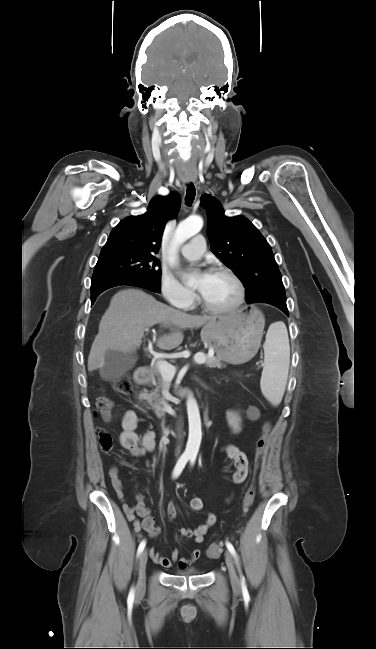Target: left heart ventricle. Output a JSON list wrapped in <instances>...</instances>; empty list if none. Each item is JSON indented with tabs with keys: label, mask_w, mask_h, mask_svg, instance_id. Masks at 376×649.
Here are the masks:
<instances>
[{
	"label": "left heart ventricle",
	"mask_w": 376,
	"mask_h": 649,
	"mask_svg": "<svg viewBox=\"0 0 376 649\" xmlns=\"http://www.w3.org/2000/svg\"><path fill=\"white\" fill-rule=\"evenodd\" d=\"M196 286L207 303L215 307L227 306L237 297V287L226 274L211 273L205 285L201 286L198 280Z\"/></svg>",
	"instance_id": "left-heart-ventricle-1"
}]
</instances>
